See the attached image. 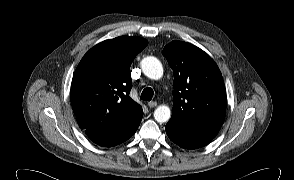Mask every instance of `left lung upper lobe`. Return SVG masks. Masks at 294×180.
Here are the masks:
<instances>
[{"label":"left lung upper lobe","mask_w":294,"mask_h":180,"mask_svg":"<svg viewBox=\"0 0 294 180\" xmlns=\"http://www.w3.org/2000/svg\"><path fill=\"white\" fill-rule=\"evenodd\" d=\"M162 53L174 71L171 119L188 127H221L226 91L213 59L193 44L181 41H172Z\"/></svg>","instance_id":"5c2ea615"}]
</instances>
